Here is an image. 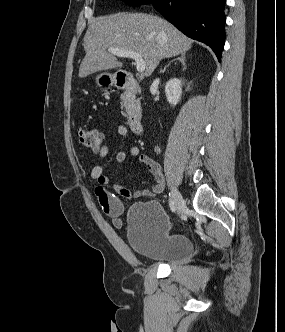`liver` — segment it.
I'll return each mask as SVG.
<instances>
[{"mask_svg":"<svg viewBox=\"0 0 285 332\" xmlns=\"http://www.w3.org/2000/svg\"><path fill=\"white\" fill-rule=\"evenodd\" d=\"M86 52L79 77L122 67L106 49L134 51L145 61V75L150 76L160 60L185 54L193 41L168 21L150 14L116 13L93 19L83 39Z\"/></svg>","mask_w":285,"mask_h":332,"instance_id":"6515ba94","label":"liver"}]
</instances>
